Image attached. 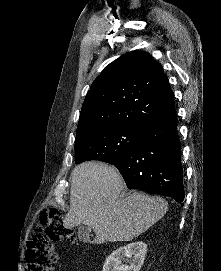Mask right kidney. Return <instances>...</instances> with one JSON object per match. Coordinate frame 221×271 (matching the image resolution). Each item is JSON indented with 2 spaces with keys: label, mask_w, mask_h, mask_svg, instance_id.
Segmentation results:
<instances>
[{
  "label": "right kidney",
  "mask_w": 221,
  "mask_h": 271,
  "mask_svg": "<svg viewBox=\"0 0 221 271\" xmlns=\"http://www.w3.org/2000/svg\"><path fill=\"white\" fill-rule=\"evenodd\" d=\"M147 245L144 241H131L107 255L102 271H139L145 259ZM126 259L127 263H122Z\"/></svg>",
  "instance_id": "ca27d5eb"
}]
</instances>
